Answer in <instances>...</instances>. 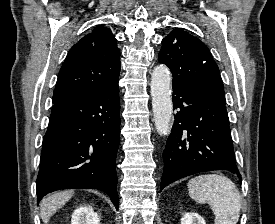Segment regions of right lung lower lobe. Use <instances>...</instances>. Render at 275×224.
Here are the masks:
<instances>
[{
	"label": "right lung lower lobe",
	"instance_id": "1",
	"mask_svg": "<svg viewBox=\"0 0 275 224\" xmlns=\"http://www.w3.org/2000/svg\"><path fill=\"white\" fill-rule=\"evenodd\" d=\"M118 84L54 104L43 138L37 201L60 189H99L118 209L115 160L119 146Z\"/></svg>",
	"mask_w": 275,
	"mask_h": 224
}]
</instances>
